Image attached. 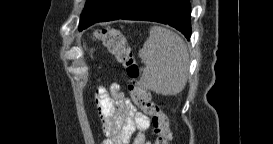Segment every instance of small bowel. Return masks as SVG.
<instances>
[{
	"mask_svg": "<svg viewBox=\"0 0 273 144\" xmlns=\"http://www.w3.org/2000/svg\"><path fill=\"white\" fill-rule=\"evenodd\" d=\"M98 114L106 135V144H147L145 132L149 128V118L140 112L121 90L113 83L109 90L98 87L95 90Z\"/></svg>",
	"mask_w": 273,
	"mask_h": 144,
	"instance_id": "1",
	"label": "small bowel"
}]
</instances>
